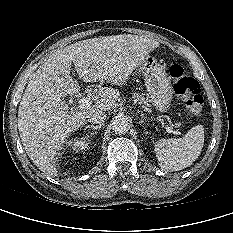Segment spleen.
<instances>
[{"mask_svg":"<svg viewBox=\"0 0 233 233\" xmlns=\"http://www.w3.org/2000/svg\"><path fill=\"white\" fill-rule=\"evenodd\" d=\"M203 145L204 128L196 125L182 138L158 140L154 151L160 168L171 172L189 167L200 155Z\"/></svg>","mask_w":233,"mask_h":233,"instance_id":"obj_1","label":"spleen"}]
</instances>
